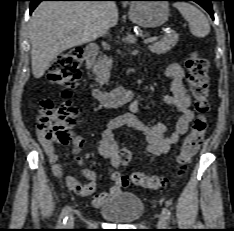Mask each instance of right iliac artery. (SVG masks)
<instances>
[{
    "mask_svg": "<svg viewBox=\"0 0 234 231\" xmlns=\"http://www.w3.org/2000/svg\"><path fill=\"white\" fill-rule=\"evenodd\" d=\"M69 211H70L69 206L64 207V209L62 210L60 217L58 219V222H57L58 229H62L64 227L66 220L68 218Z\"/></svg>",
    "mask_w": 234,
    "mask_h": 231,
    "instance_id": "1",
    "label": "right iliac artery"
}]
</instances>
